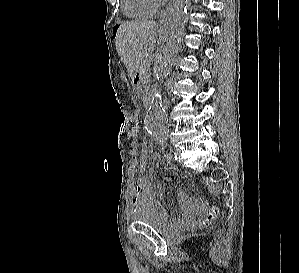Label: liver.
<instances>
[{
  "label": "liver",
  "mask_w": 299,
  "mask_h": 273,
  "mask_svg": "<svg viewBox=\"0 0 299 273\" xmlns=\"http://www.w3.org/2000/svg\"><path fill=\"white\" fill-rule=\"evenodd\" d=\"M156 38L154 21H129L118 28L116 49L131 78L136 77L141 62L154 50Z\"/></svg>",
  "instance_id": "obj_1"
}]
</instances>
